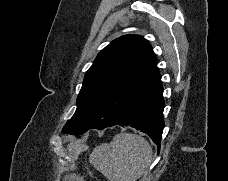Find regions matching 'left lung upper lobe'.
Returning a JSON list of instances; mask_svg holds the SVG:
<instances>
[{
  "instance_id": "5c2ea615",
  "label": "left lung upper lobe",
  "mask_w": 228,
  "mask_h": 181,
  "mask_svg": "<svg viewBox=\"0 0 228 181\" xmlns=\"http://www.w3.org/2000/svg\"><path fill=\"white\" fill-rule=\"evenodd\" d=\"M156 64L152 46L142 36L124 35L112 41L86 72L73 121L62 132L78 135L117 123L133 91Z\"/></svg>"
}]
</instances>
